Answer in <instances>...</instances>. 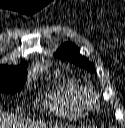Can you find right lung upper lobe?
<instances>
[{
    "instance_id": "right-lung-upper-lobe-1",
    "label": "right lung upper lobe",
    "mask_w": 125,
    "mask_h": 128,
    "mask_svg": "<svg viewBox=\"0 0 125 128\" xmlns=\"http://www.w3.org/2000/svg\"><path fill=\"white\" fill-rule=\"evenodd\" d=\"M0 70H7V71H12V72H18V73H25L26 74V64L21 63L19 67H12V66H7V65H0Z\"/></svg>"
}]
</instances>
